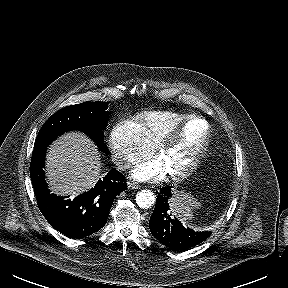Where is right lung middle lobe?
<instances>
[{
  "mask_svg": "<svg viewBox=\"0 0 288 288\" xmlns=\"http://www.w3.org/2000/svg\"><path fill=\"white\" fill-rule=\"evenodd\" d=\"M108 102H90L66 106L53 114L40 129L35 140L34 149L46 147L60 134L78 130L87 134L103 152L107 147L103 143L109 112Z\"/></svg>",
  "mask_w": 288,
  "mask_h": 288,
  "instance_id": "right-lung-middle-lobe-1",
  "label": "right lung middle lobe"
}]
</instances>
